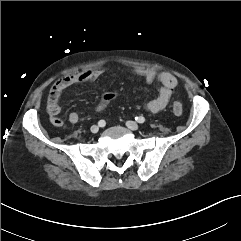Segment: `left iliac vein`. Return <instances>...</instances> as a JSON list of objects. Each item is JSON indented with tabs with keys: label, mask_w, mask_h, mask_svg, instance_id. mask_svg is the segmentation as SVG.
<instances>
[{
	"label": "left iliac vein",
	"mask_w": 241,
	"mask_h": 241,
	"mask_svg": "<svg viewBox=\"0 0 241 241\" xmlns=\"http://www.w3.org/2000/svg\"><path fill=\"white\" fill-rule=\"evenodd\" d=\"M126 126H127L129 129L134 130V131L139 129L138 124H137L136 122H134V121H127V122H126Z\"/></svg>",
	"instance_id": "1"
}]
</instances>
